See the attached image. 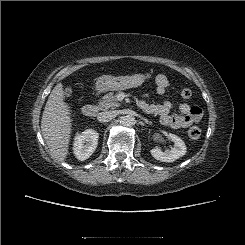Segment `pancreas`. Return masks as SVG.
Returning a JSON list of instances; mask_svg holds the SVG:
<instances>
[{
    "label": "pancreas",
    "instance_id": "cf45deb5",
    "mask_svg": "<svg viewBox=\"0 0 245 245\" xmlns=\"http://www.w3.org/2000/svg\"><path fill=\"white\" fill-rule=\"evenodd\" d=\"M119 106L120 103L117 100V95L112 92L105 94L98 105L100 110L116 109Z\"/></svg>",
    "mask_w": 245,
    "mask_h": 245
}]
</instances>
